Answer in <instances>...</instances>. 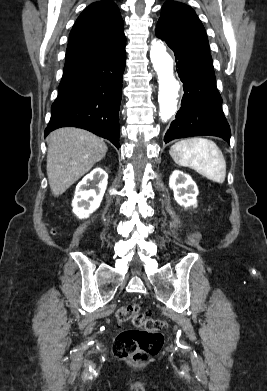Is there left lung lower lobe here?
Masks as SVG:
<instances>
[{"instance_id": "obj_1", "label": "left lung lower lobe", "mask_w": 267, "mask_h": 391, "mask_svg": "<svg viewBox=\"0 0 267 391\" xmlns=\"http://www.w3.org/2000/svg\"><path fill=\"white\" fill-rule=\"evenodd\" d=\"M156 36L173 50L184 89L181 108L167 130L165 143L201 135L217 136L229 143L230 127L222 111L210 52L161 32L156 31Z\"/></svg>"}]
</instances>
